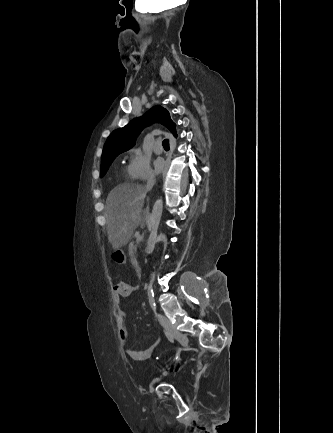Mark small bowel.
<instances>
[{
	"instance_id": "obj_1",
	"label": "small bowel",
	"mask_w": 333,
	"mask_h": 433,
	"mask_svg": "<svg viewBox=\"0 0 333 433\" xmlns=\"http://www.w3.org/2000/svg\"><path fill=\"white\" fill-rule=\"evenodd\" d=\"M138 290V287L127 282H119L113 287L114 304H115V316L117 319V328L119 334V342L124 350L127 357L132 360L140 361L150 358L155 350L161 345V340L158 339L154 344L144 351H135L128 347V332L126 328V312L121 308V302L123 299L128 298L134 292Z\"/></svg>"
}]
</instances>
